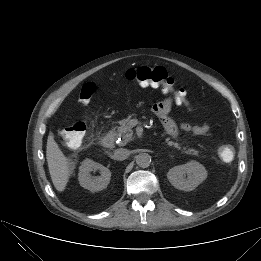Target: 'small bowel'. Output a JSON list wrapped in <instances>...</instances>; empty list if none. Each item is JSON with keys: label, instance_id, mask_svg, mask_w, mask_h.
Listing matches in <instances>:
<instances>
[{"label": "small bowel", "instance_id": "small-bowel-1", "mask_svg": "<svg viewBox=\"0 0 261 261\" xmlns=\"http://www.w3.org/2000/svg\"><path fill=\"white\" fill-rule=\"evenodd\" d=\"M174 102L176 101L172 98H166L162 102L155 104L153 107L154 112L160 118L168 133L171 135H177L180 131H183L193 135H205L210 131V125L208 123H183L180 126H177L168 116Z\"/></svg>", "mask_w": 261, "mask_h": 261}]
</instances>
